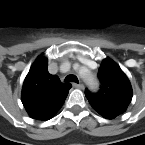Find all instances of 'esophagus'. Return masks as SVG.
<instances>
[{
  "mask_svg": "<svg viewBox=\"0 0 145 145\" xmlns=\"http://www.w3.org/2000/svg\"><path fill=\"white\" fill-rule=\"evenodd\" d=\"M73 86L78 89H84V85L82 83H73Z\"/></svg>",
  "mask_w": 145,
  "mask_h": 145,
  "instance_id": "1",
  "label": "esophagus"
}]
</instances>
